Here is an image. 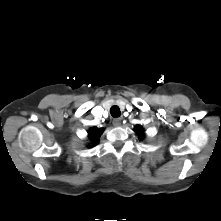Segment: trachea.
I'll list each match as a JSON object with an SVG mask.
<instances>
[{"instance_id": "1", "label": "trachea", "mask_w": 221, "mask_h": 221, "mask_svg": "<svg viewBox=\"0 0 221 221\" xmlns=\"http://www.w3.org/2000/svg\"><path fill=\"white\" fill-rule=\"evenodd\" d=\"M110 114L112 117L117 118L120 116L121 112L118 106H112L110 109Z\"/></svg>"}]
</instances>
